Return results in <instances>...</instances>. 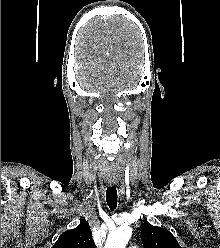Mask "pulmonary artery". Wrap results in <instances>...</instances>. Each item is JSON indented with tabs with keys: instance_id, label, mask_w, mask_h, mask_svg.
<instances>
[{
	"instance_id": "e3ab8cb5",
	"label": "pulmonary artery",
	"mask_w": 220,
	"mask_h": 248,
	"mask_svg": "<svg viewBox=\"0 0 220 248\" xmlns=\"http://www.w3.org/2000/svg\"><path fill=\"white\" fill-rule=\"evenodd\" d=\"M129 248H136V247L132 246V247H129Z\"/></svg>"
}]
</instances>
